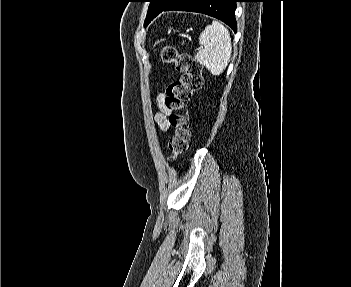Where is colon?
Returning a JSON list of instances; mask_svg holds the SVG:
<instances>
[{"label":"colon","mask_w":351,"mask_h":287,"mask_svg":"<svg viewBox=\"0 0 351 287\" xmlns=\"http://www.w3.org/2000/svg\"><path fill=\"white\" fill-rule=\"evenodd\" d=\"M161 57L164 62L174 65L176 71L181 74L178 81L167 87L164 101L169 111V123L174 128L168 145V158L173 162L188 149L190 131L183 110L193 94L202 88V68L191 55L179 52L173 47H165Z\"/></svg>","instance_id":"obj_1"}]
</instances>
